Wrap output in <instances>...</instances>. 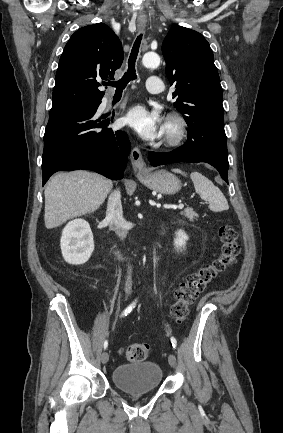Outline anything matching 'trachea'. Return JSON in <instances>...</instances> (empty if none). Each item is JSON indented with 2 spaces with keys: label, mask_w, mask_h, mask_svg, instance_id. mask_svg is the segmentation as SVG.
Returning a JSON list of instances; mask_svg holds the SVG:
<instances>
[{
  "label": "trachea",
  "mask_w": 283,
  "mask_h": 433,
  "mask_svg": "<svg viewBox=\"0 0 283 433\" xmlns=\"http://www.w3.org/2000/svg\"><path fill=\"white\" fill-rule=\"evenodd\" d=\"M142 40V33L138 35L136 40L134 41L133 47L131 49L130 56L128 58V69L127 72L124 73L123 77L118 80L117 82H108L107 85H110V87L116 88V93H122L126 85L131 81L135 80L137 78L136 70H135V63L137 60V56L139 53V48L141 45Z\"/></svg>",
  "instance_id": "obj_1"
}]
</instances>
